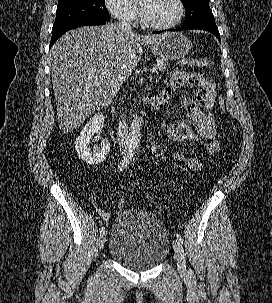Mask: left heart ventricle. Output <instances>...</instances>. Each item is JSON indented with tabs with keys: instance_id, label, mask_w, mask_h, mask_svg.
I'll list each match as a JSON object with an SVG mask.
<instances>
[{
	"instance_id": "1",
	"label": "left heart ventricle",
	"mask_w": 272,
	"mask_h": 303,
	"mask_svg": "<svg viewBox=\"0 0 272 303\" xmlns=\"http://www.w3.org/2000/svg\"><path fill=\"white\" fill-rule=\"evenodd\" d=\"M139 7L154 24H168L175 19L178 6L175 0H140Z\"/></svg>"
}]
</instances>
